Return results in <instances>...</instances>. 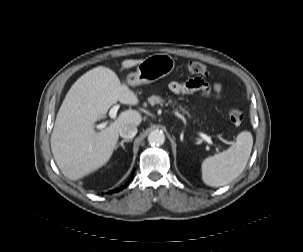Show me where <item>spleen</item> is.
I'll use <instances>...</instances> for the list:
<instances>
[{
  "label": "spleen",
  "mask_w": 303,
  "mask_h": 252,
  "mask_svg": "<svg viewBox=\"0 0 303 252\" xmlns=\"http://www.w3.org/2000/svg\"><path fill=\"white\" fill-rule=\"evenodd\" d=\"M252 146V134L242 131L228 150L206 158L201 165L204 183L211 187H220L232 182L245 169Z\"/></svg>",
  "instance_id": "1"
}]
</instances>
